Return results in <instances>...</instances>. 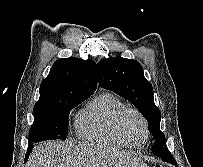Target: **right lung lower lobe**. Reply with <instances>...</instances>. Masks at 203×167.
<instances>
[{"instance_id": "right-lung-lower-lobe-1", "label": "right lung lower lobe", "mask_w": 203, "mask_h": 167, "mask_svg": "<svg viewBox=\"0 0 203 167\" xmlns=\"http://www.w3.org/2000/svg\"><path fill=\"white\" fill-rule=\"evenodd\" d=\"M33 143L34 142H29V144H28V150H27V153L25 155V161H27V159L29 158L30 151L33 149Z\"/></svg>"}]
</instances>
